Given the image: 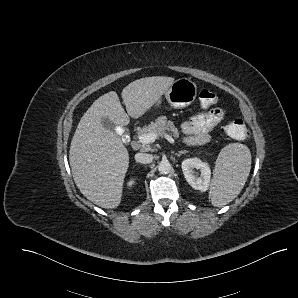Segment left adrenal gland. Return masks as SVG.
<instances>
[{"label":"left adrenal gland","instance_id":"1","mask_svg":"<svg viewBox=\"0 0 298 298\" xmlns=\"http://www.w3.org/2000/svg\"><path fill=\"white\" fill-rule=\"evenodd\" d=\"M186 153H188L187 150H180L178 153H175V155L181 156L182 154H186Z\"/></svg>","mask_w":298,"mask_h":298}]
</instances>
